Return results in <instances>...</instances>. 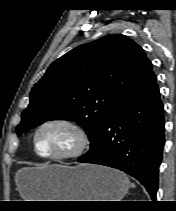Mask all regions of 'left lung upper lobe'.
Wrapping results in <instances>:
<instances>
[{
    "label": "left lung upper lobe",
    "mask_w": 176,
    "mask_h": 211,
    "mask_svg": "<svg viewBox=\"0 0 176 211\" xmlns=\"http://www.w3.org/2000/svg\"><path fill=\"white\" fill-rule=\"evenodd\" d=\"M155 83L151 62L138 44L121 34L104 36L50 65L32 88L17 135L48 120L66 119L85 129L92 147L112 113Z\"/></svg>",
    "instance_id": "1"
}]
</instances>
